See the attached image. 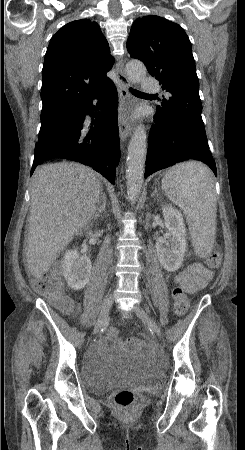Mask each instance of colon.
Listing matches in <instances>:
<instances>
[{
  "mask_svg": "<svg viewBox=\"0 0 245 450\" xmlns=\"http://www.w3.org/2000/svg\"><path fill=\"white\" fill-rule=\"evenodd\" d=\"M220 253L217 250L210 252L205 263L209 268H217L220 265ZM37 291L48 297L50 302L62 313L68 314L73 309L72 300L63 293L60 276L45 272L43 277L36 284ZM171 300L178 315H184L189 307V299L186 291L181 285L173 286L171 289ZM109 339L112 344L118 347L127 348L130 351H138L142 348V343L136 339L126 341L117 335L115 330L109 332ZM117 409L121 413H127L134 403L135 396L131 390L123 389L118 391L114 397Z\"/></svg>",
  "mask_w": 245,
  "mask_h": 450,
  "instance_id": "5ec220e1",
  "label": "colon"
}]
</instances>
